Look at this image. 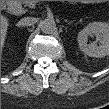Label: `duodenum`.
<instances>
[{
  "mask_svg": "<svg viewBox=\"0 0 109 109\" xmlns=\"http://www.w3.org/2000/svg\"><path fill=\"white\" fill-rule=\"evenodd\" d=\"M10 9L17 10V9H18V7H17V6H15L13 3H11V4H10Z\"/></svg>",
  "mask_w": 109,
  "mask_h": 109,
  "instance_id": "410a0bca",
  "label": "duodenum"
}]
</instances>
